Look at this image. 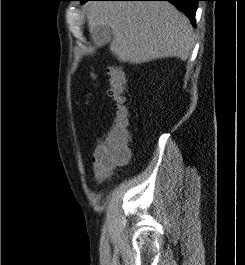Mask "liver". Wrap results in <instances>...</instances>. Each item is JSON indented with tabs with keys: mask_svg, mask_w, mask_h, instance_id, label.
<instances>
[{
	"mask_svg": "<svg viewBox=\"0 0 245 265\" xmlns=\"http://www.w3.org/2000/svg\"><path fill=\"white\" fill-rule=\"evenodd\" d=\"M90 32L99 25L113 31L110 50L132 64L191 54L194 37L189 19L165 1H92L88 3Z\"/></svg>",
	"mask_w": 245,
	"mask_h": 265,
	"instance_id": "obj_1",
	"label": "liver"
}]
</instances>
